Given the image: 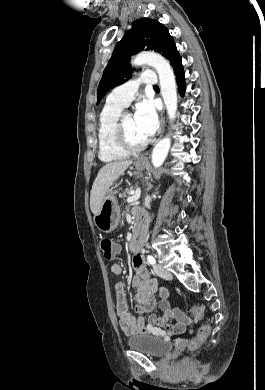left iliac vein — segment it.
I'll list each match as a JSON object with an SVG mask.
<instances>
[{
  "label": "left iliac vein",
  "mask_w": 265,
  "mask_h": 390,
  "mask_svg": "<svg viewBox=\"0 0 265 390\" xmlns=\"http://www.w3.org/2000/svg\"><path fill=\"white\" fill-rule=\"evenodd\" d=\"M154 272L161 278L165 280H171L172 279V274L169 270L163 268L162 266L155 264L153 266Z\"/></svg>",
  "instance_id": "1"
}]
</instances>
